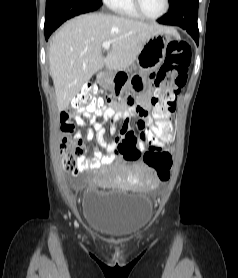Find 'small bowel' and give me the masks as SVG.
<instances>
[{"label": "small bowel", "mask_w": 238, "mask_h": 278, "mask_svg": "<svg viewBox=\"0 0 238 278\" xmlns=\"http://www.w3.org/2000/svg\"><path fill=\"white\" fill-rule=\"evenodd\" d=\"M148 76H150L149 80L153 81V76H157V71H148ZM145 98H152V93H143V98L138 104H135V100H124V105L118 108L101 107L94 112L69 110L63 111L61 113V127L65 123H71V119L74 120L76 125L80 127L85 126L86 123L82 116L88 118L90 120V124L93 127V129H89L87 131L86 138L89 141L95 139L99 147L93 151L91 158L81 157L79 159L80 170H94L100 168L101 166L109 165L113 162L114 157L117 155L115 151L119 146L122 144H138V142L145 141V138L150 137V120L148 118L149 108ZM133 115H137L139 117L137 122V131L129 127V121ZM98 117H102L105 121L110 120L112 122L122 120L123 125L121 128V135L116 137L113 141L108 142L105 139V130L103 124L97 121ZM62 131L65 133L66 138L71 135L63 129ZM111 131H115L114 126L111 127ZM74 138L76 141L82 143L81 134L77 133ZM170 140L171 135H167L162 136L160 141L167 143ZM102 150H105V152ZM153 171L154 170L150 168V171H148L144 176V183L147 187H153L158 182L159 178L154 175Z\"/></svg>", "instance_id": "1"}]
</instances>
